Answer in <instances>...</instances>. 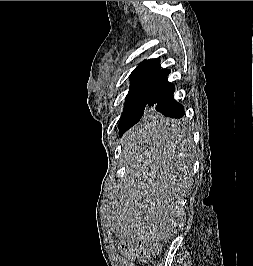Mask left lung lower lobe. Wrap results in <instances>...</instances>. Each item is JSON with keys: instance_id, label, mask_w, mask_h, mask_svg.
<instances>
[{"instance_id": "obj_1", "label": "left lung lower lobe", "mask_w": 253, "mask_h": 266, "mask_svg": "<svg viewBox=\"0 0 253 266\" xmlns=\"http://www.w3.org/2000/svg\"><path fill=\"white\" fill-rule=\"evenodd\" d=\"M169 73L170 70L159 68L149 89L146 103L147 113L158 114L156 118L148 121L146 124H148V127H150L155 133L160 134H167L168 132L174 131L176 128L175 122H171L170 120L163 118L161 115L171 119L182 118L184 116L183 106L177 103L173 96L175 87L167 80ZM118 128L124 133L131 127L119 124Z\"/></svg>"}]
</instances>
